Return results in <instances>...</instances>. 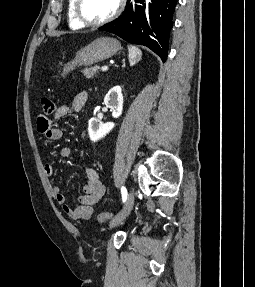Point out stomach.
Wrapping results in <instances>:
<instances>
[{"label": "stomach", "instance_id": "stomach-1", "mask_svg": "<svg viewBox=\"0 0 255 287\" xmlns=\"http://www.w3.org/2000/svg\"><path fill=\"white\" fill-rule=\"evenodd\" d=\"M118 50H122V48L121 44L115 38H96L91 44L84 46V48L76 52L74 60L66 66L64 76L68 72H71V70H74L75 66H92L96 62L108 60Z\"/></svg>", "mask_w": 255, "mask_h": 287}]
</instances>
